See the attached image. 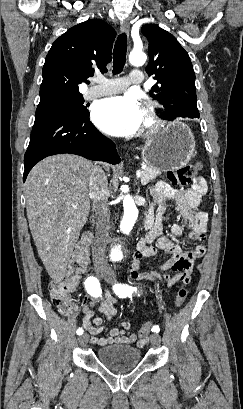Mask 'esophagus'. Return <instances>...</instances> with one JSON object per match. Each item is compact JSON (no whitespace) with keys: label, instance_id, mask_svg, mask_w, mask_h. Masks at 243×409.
<instances>
[{"label":"esophagus","instance_id":"obj_1","mask_svg":"<svg viewBox=\"0 0 243 409\" xmlns=\"http://www.w3.org/2000/svg\"><path fill=\"white\" fill-rule=\"evenodd\" d=\"M129 28H130V25H129V22L127 20L123 21L121 23L120 29H121V31L123 33L128 34L129 33Z\"/></svg>","mask_w":243,"mask_h":409}]
</instances>
